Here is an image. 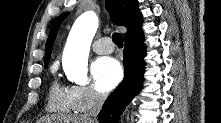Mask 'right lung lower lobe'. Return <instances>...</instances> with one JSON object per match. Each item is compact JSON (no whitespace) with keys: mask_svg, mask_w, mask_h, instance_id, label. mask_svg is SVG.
I'll use <instances>...</instances> for the list:
<instances>
[{"mask_svg":"<svg viewBox=\"0 0 221 123\" xmlns=\"http://www.w3.org/2000/svg\"><path fill=\"white\" fill-rule=\"evenodd\" d=\"M123 64L125 76L120 85L111 93L105 101L99 121L101 123H117V119L124 111L127 104L142 88L143 72L146 54L143 34L124 40Z\"/></svg>","mask_w":221,"mask_h":123,"instance_id":"right-lung-lower-lobe-1","label":"right lung lower lobe"}]
</instances>
